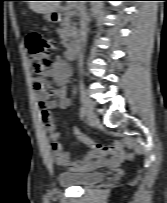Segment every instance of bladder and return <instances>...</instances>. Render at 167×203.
Segmentation results:
<instances>
[{
  "label": "bladder",
  "instance_id": "bladder-1",
  "mask_svg": "<svg viewBox=\"0 0 167 203\" xmlns=\"http://www.w3.org/2000/svg\"><path fill=\"white\" fill-rule=\"evenodd\" d=\"M104 172H63L57 175V182L62 186H84L97 184L104 181Z\"/></svg>",
  "mask_w": 167,
  "mask_h": 203
}]
</instances>
